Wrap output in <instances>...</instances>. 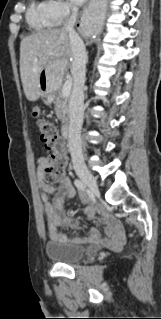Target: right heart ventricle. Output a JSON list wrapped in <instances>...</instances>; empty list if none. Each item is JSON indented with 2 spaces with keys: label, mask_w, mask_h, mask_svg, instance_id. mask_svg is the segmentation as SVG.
<instances>
[{
  "label": "right heart ventricle",
  "mask_w": 161,
  "mask_h": 319,
  "mask_svg": "<svg viewBox=\"0 0 161 319\" xmlns=\"http://www.w3.org/2000/svg\"><path fill=\"white\" fill-rule=\"evenodd\" d=\"M27 21L35 31H43L56 26V20L48 1H34L27 11Z\"/></svg>",
  "instance_id": "e07e8e85"
}]
</instances>
